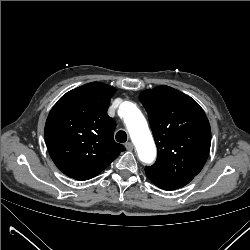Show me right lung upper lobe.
<instances>
[{
    "label": "right lung upper lobe",
    "instance_id": "cb5924a9",
    "mask_svg": "<svg viewBox=\"0 0 250 250\" xmlns=\"http://www.w3.org/2000/svg\"><path fill=\"white\" fill-rule=\"evenodd\" d=\"M115 91L100 82L88 83L67 92L51 109L45 141L53 162L68 177H95L125 150L114 141L116 123L107 114Z\"/></svg>",
    "mask_w": 250,
    "mask_h": 250
}]
</instances>
